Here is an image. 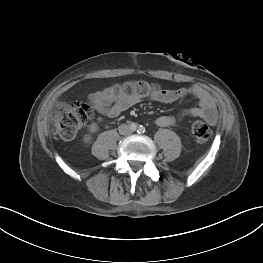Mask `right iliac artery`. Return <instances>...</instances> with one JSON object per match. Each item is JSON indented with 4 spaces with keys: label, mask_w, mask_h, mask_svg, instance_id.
<instances>
[{
    "label": "right iliac artery",
    "mask_w": 263,
    "mask_h": 263,
    "mask_svg": "<svg viewBox=\"0 0 263 263\" xmlns=\"http://www.w3.org/2000/svg\"><path fill=\"white\" fill-rule=\"evenodd\" d=\"M129 127L132 131H136L138 126L135 123H131Z\"/></svg>",
    "instance_id": "obj_1"
}]
</instances>
